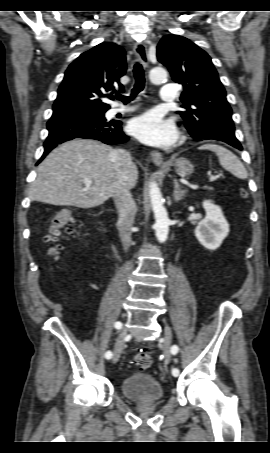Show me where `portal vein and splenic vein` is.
I'll return each instance as SVG.
<instances>
[{
    "label": "portal vein and splenic vein",
    "mask_w": 270,
    "mask_h": 453,
    "mask_svg": "<svg viewBox=\"0 0 270 453\" xmlns=\"http://www.w3.org/2000/svg\"><path fill=\"white\" fill-rule=\"evenodd\" d=\"M219 175H213L211 174L210 175V182H213L216 178H218ZM84 183L87 185V186H90L92 184V180L89 179V178H84Z\"/></svg>",
    "instance_id": "18ae733b"
}]
</instances>
